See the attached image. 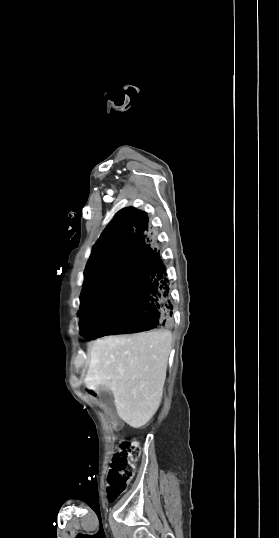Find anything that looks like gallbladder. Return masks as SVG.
I'll return each instance as SVG.
<instances>
[{
  "mask_svg": "<svg viewBox=\"0 0 279 538\" xmlns=\"http://www.w3.org/2000/svg\"><path fill=\"white\" fill-rule=\"evenodd\" d=\"M101 396H104L105 398L104 403L106 405L107 411L110 413L115 412L117 409V406L115 404L114 398L111 397V392H101ZM113 418H117V415H113Z\"/></svg>",
  "mask_w": 279,
  "mask_h": 538,
  "instance_id": "bac80fb5",
  "label": "gallbladder"
}]
</instances>
